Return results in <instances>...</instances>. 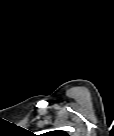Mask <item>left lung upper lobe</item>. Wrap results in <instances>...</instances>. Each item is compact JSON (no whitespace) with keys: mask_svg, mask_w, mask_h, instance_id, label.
<instances>
[{"mask_svg":"<svg viewBox=\"0 0 114 136\" xmlns=\"http://www.w3.org/2000/svg\"><path fill=\"white\" fill-rule=\"evenodd\" d=\"M52 133V136L55 135V136H68L66 132L64 131H53V132H50Z\"/></svg>","mask_w":114,"mask_h":136,"instance_id":"left-lung-upper-lobe-1","label":"left lung upper lobe"}]
</instances>
